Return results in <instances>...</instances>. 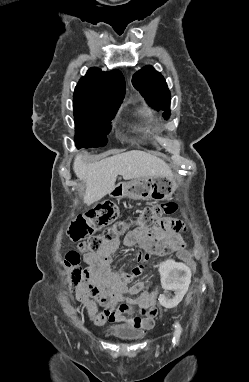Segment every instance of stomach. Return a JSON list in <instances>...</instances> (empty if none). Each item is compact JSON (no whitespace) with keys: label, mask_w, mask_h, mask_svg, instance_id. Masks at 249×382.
Returning a JSON list of instances; mask_svg holds the SVG:
<instances>
[{"label":"stomach","mask_w":249,"mask_h":382,"mask_svg":"<svg viewBox=\"0 0 249 382\" xmlns=\"http://www.w3.org/2000/svg\"><path fill=\"white\" fill-rule=\"evenodd\" d=\"M177 189L173 178L140 177L130 182L119 181L109 193L111 198L128 197L133 200L162 201L169 198Z\"/></svg>","instance_id":"stomach-1"}]
</instances>
